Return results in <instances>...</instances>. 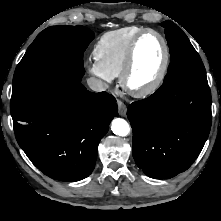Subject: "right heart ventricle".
I'll return each instance as SVG.
<instances>
[{"mask_svg":"<svg viewBox=\"0 0 221 221\" xmlns=\"http://www.w3.org/2000/svg\"><path fill=\"white\" fill-rule=\"evenodd\" d=\"M140 26H127L104 33L94 47L97 62L112 77L119 76L132 39L142 31Z\"/></svg>","mask_w":221,"mask_h":221,"instance_id":"e07e8e85","label":"right heart ventricle"}]
</instances>
